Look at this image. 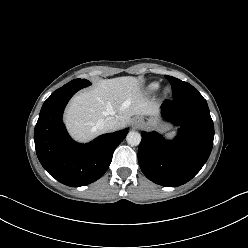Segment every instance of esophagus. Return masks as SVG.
<instances>
[{
  "label": "esophagus",
  "mask_w": 248,
  "mask_h": 248,
  "mask_svg": "<svg viewBox=\"0 0 248 248\" xmlns=\"http://www.w3.org/2000/svg\"><path fill=\"white\" fill-rule=\"evenodd\" d=\"M141 123H143V119H142L141 117L137 116V117H135V118L133 119V124H134L135 126H138V125H140Z\"/></svg>",
  "instance_id": "obj_1"
}]
</instances>
